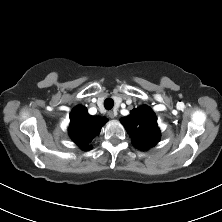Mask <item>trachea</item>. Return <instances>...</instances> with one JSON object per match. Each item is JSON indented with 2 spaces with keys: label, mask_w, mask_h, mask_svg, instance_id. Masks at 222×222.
<instances>
[{
  "label": "trachea",
  "mask_w": 222,
  "mask_h": 222,
  "mask_svg": "<svg viewBox=\"0 0 222 222\" xmlns=\"http://www.w3.org/2000/svg\"><path fill=\"white\" fill-rule=\"evenodd\" d=\"M114 106V101L111 99V98H107L105 101H104V107L107 109V110H111Z\"/></svg>",
  "instance_id": "trachea-1"
}]
</instances>
